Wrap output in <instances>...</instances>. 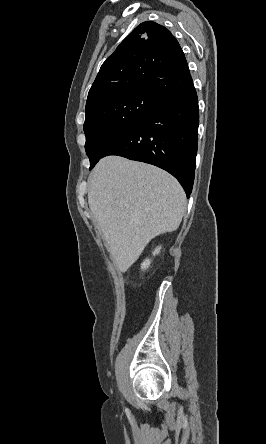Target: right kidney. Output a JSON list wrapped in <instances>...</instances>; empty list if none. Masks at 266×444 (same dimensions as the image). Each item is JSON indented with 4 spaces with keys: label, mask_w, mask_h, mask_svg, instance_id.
<instances>
[{
    "label": "right kidney",
    "mask_w": 266,
    "mask_h": 444,
    "mask_svg": "<svg viewBox=\"0 0 266 444\" xmlns=\"http://www.w3.org/2000/svg\"><path fill=\"white\" fill-rule=\"evenodd\" d=\"M160 249H161V247L156 248L155 251L153 252V255L158 254V253L160 252ZM150 262H151V261H150L149 259L145 260V261L142 263L141 268H142L143 270L147 269V268L149 267V265H150Z\"/></svg>",
    "instance_id": "ca27d5eb"
}]
</instances>
